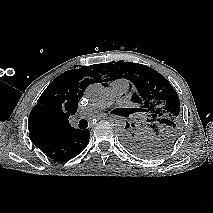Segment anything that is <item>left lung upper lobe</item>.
<instances>
[{"label":"left lung upper lobe","mask_w":213,"mask_h":213,"mask_svg":"<svg viewBox=\"0 0 213 213\" xmlns=\"http://www.w3.org/2000/svg\"><path fill=\"white\" fill-rule=\"evenodd\" d=\"M100 73L107 74L105 81L126 78L136 92L132 102L141 113L140 123H128L122 134L124 145L134 154L154 158L167 152L177 141L182 121L177 92L169 81L156 70L133 62H110L98 66Z\"/></svg>","instance_id":"left-lung-upper-lobe-1"}]
</instances>
